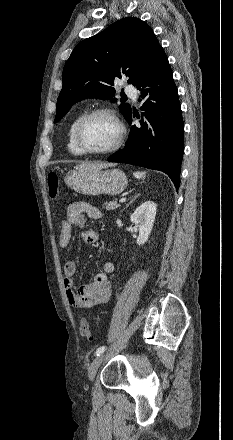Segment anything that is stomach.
I'll use <instances>...</instances> for the list:
<instances>
[{
	"mask_svg": "<svg viewBox=\"0 0 233 440\" xmlns=\"http://www.w3.org/2000/svg\"><path fill=\"white\" fill-rule=\"evenodd\" d=\"M68 187L84 195H118L128 184L125 173L120 169L85 168L70 171L66 174Z\"/></svg>",
	"mask_w": 233,
	"mask_h": 440,
	"instance_id": "obj_1",
	"label": "stomach"
}]
</instances>
